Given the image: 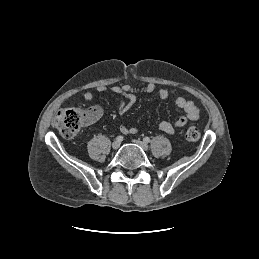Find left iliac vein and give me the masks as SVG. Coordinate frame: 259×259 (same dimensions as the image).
Here are the masks:
<instances>
[{
  "label": "left iliac vein",
  "mask_w": 259,
  "mask_h": 259,
  "mask_svg": "<svg viewBox=\"0 0 259 259\" xmlns=\"http://www.w3.org/2000/svg\"><path fill=\"white\" fill-rule=\"evenodd\" d=\"M133 142L135 143V144H137L138 146H140L144 151H147L148 150V145L145 143V142H143V141H141V140H133Z\"/></svg>",
  "instance_id": "obj_1"
}]
</instances>
